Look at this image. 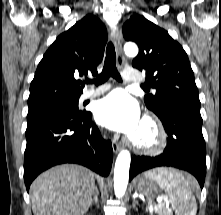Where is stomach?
Masks as SVG:
<instances>
[{
  "label": "stomach",
  "instance_id": "1",
  "mask_svg": "<svg viewBox=\"0 0 221 215\" xmlns=\"http://www.w3.org/2000/svg\"><path fill=\"white\" fill-rule=\"evenodd\" d=\"M162 171L163 169H156L138 176L136 180V190L145 196H153L156 194L158 189L161 188L156 176Z\"/></svg>",
  "mask_w": 221,
  "mask_h": 215
}]
</instances>
